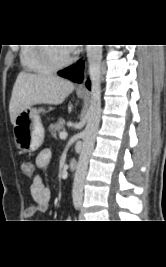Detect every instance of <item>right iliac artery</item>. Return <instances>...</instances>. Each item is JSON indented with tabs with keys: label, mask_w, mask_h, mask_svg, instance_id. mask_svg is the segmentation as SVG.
Returning <instances> with one entry per match:
<instances>
[{
	"label": "right iliac artery",
	"mask_w": 166,
	"mask_h": 267,
	"mask_svg": "<svg viewBox=\"0 0 166 267\" xmlns=\"http://www.w3.org/2000/svg\"><path fill=\"white\" fill-rule=\"evenodd\" d=\"M75 208H76V209L78 208V204H75Z\"/></svg>",
	"instance_id": "82829eb1"
}]
</instances>
